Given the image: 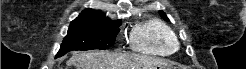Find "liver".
<instances>
[{"instance_id":"6515ba94","label":"liver","mask_w":246,"mask_h":69,"mask_svg":"<svg viewBox=\"0 0 246 69\" xmlns=\"http://www.w3.org/2000/svg\"><path fill=\"white\" fill-rule=\"evenodd\" d=\"M68 64H74L77 69H149L164 63L160 59L135 54L91 51L75 52Z\"/></svg>"}]
</instances>
